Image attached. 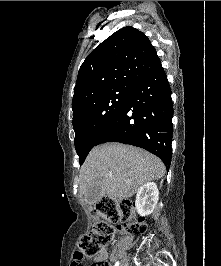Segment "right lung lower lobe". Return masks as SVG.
<instances>
[{
  "mask_svg": "<svg viewBox=\"0 0 221 266\" xmlns=\"http://www.w3.org/2000/svg\"><path fill=\"white\" fill-rule=\"evenodd\" d=\"M172 117L171 88L160 65L132 86L124 108L101 133L96 145L120 142L144 148L158 156L169 170Z\"/></svg>",
  "mask_w": 221,
  "mask_h": 266,
  "instance_id": "98d812e1",
  "label": "right lung lower lobe"
}]
</instances>
